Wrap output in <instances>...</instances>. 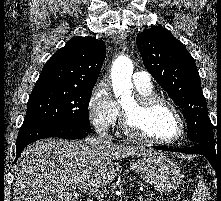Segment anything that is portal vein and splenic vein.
Listing matches in <instances>:
<instances>
[{
	"mask_svg": "<svg viewBox=\"0 0 221 201\" xmlns=\"http://www.w3.org/2000/svg\"><path fill=\"white\" fill-rule=\"evenodd\" d=\"M79 188V187H78ZM84 190H88L92 195H94L95 197H98V198H100V196H101V192L98 190V189H95V188H92V187H84ZM139 199L141 200V201H143L144 200V197L141 195V196H139ZM145 201V200H144Z\"/></svg>",
	"mask_w": 221,
	"mask_h": 201,
	"instance_id": "portal-vein-and-splenic-vein-1",
	"label": "portal vein and splenic vein"
}]
</instances>
